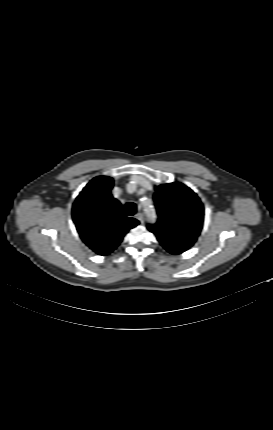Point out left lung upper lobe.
Returning a JSON list of instances; mask_svg holds the SVG:
<instances>
[{
  "label": "left lung upper lobe",
  "instance_id": "obj_1",
  "mask_svg": "<svg viewBox=\"0 0 273 430\" xmlns=\"http://www.w3.org/2000/svg\"><path fill=\"white\" fill-rule=\"evenodd\" d=\"M155 190L158 221L147 228L169 253L180 254L195 243L201 232L203 205L198 196L181 183L162 184Z\"/></svg>",
  "mask_w": 273,
  "mask_h": 430
}]
</instances>
